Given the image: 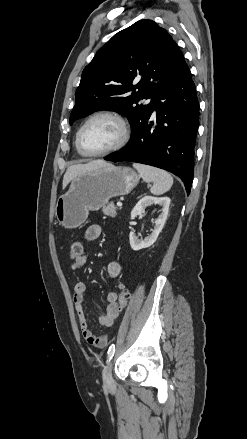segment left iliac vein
Listing matches in <instances>:
<instances>
[{"label": "left iliac vein", "mask_w": 247, "mask_h": 439, "mask_svg": "<svg viewBox=\"0 0 247 439\" xmlns=\"http://www.w3.org/2000/svg\"><path fill=\"white\" fill-rule=\"evenodd\" d=\"M103 384L105 388H111L113 386V377H112V362L105 366L103 370Z\"/></svg>", "instance_id": "1"}]
</instances>
